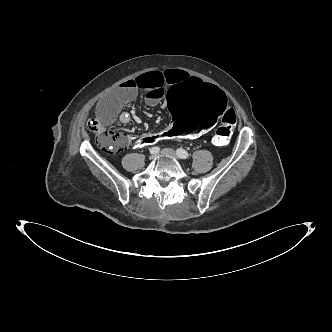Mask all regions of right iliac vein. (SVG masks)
I'll return each mask as SVG.
<instances>
[{
    "label": "right iliac vein",
    "instance_id": "right-iliac-vein-1",
    "mask_svg": "<svg viewBox=\"0 0 332 332\" xmlns=\"http://www.w3.org/2000/svg\"><path fill=\"white\" fill-rule=\"evenodd\" d=\"M155 158H156L155 154H153V155L150 156V160H154Z\"/></svg>",
    "mask_w": 332,
    "mask_h": 332
}]
</instances>
